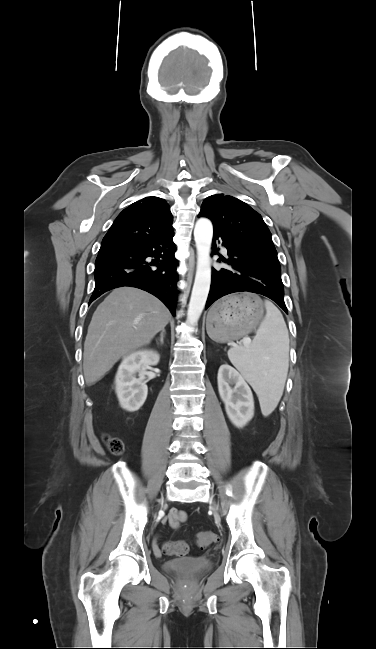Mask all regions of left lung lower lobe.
<instances>
[{"label":"left lung lower lobe","instance_id":"0a47b994","mask_svg":"<svg viewBox=\"0 0 376 649\" xmlns=\"http://www.w3.org/2000/svg\"><path fill=\"white\" fill-rule=\"evenodd\" d=\"M218 238L226 247L229 256L228 259L221 258L218 261L228 264L230 268L212 269L211 288L205 309L225 295L248 291L272 299L288 313L284 303L279 261L216 231L213 234V248L216 247Z\"/></svg>","mask_w":376,"mask_h":649}]
</instances>
